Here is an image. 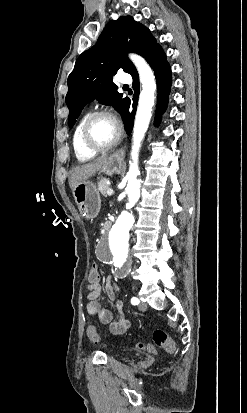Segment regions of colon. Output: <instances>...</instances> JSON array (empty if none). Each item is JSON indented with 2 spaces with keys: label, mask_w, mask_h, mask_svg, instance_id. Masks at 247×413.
<instances>
[{
  "label": "colon",
  "mask_w": 247,
  "mask_h": 413,
  "mask_svg": "<svg viewBox=\"0 0 247 413\" xmlns=\"http://www.w3.org/2000/svg\"><path fill=\"white\" fill-rule=\"evenodd\" d=\"M101 280V275L96 274V264L92 266V269L88 270V284L94 286ZM85 335L93 342H99V335L97 328L88 323L85 328ZM152 342H155L154 347H161L162 351H165L166 355H177L178 347L176 343L170 339V335L163 330H154L152 333ZM139 349H145L147 352L152 353L153 348L138 344Z\"/></svg>",
  "instance_id": "colon-1"
}]
</instances>
